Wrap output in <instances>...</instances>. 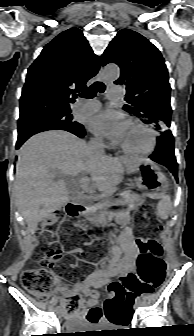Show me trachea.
Instances as JSON below:
<instances>
[{"label": "trachea", "mask_w": 194, "mask_h": 336, "mask_svg": "<svg viewBox=\"0 0 194 336\" xmlns=\"http://www.w3.org/2000/svg\"><path fill=\"white\" fill-rule=\"evenodd\" d=\"M105 91V85L102 82L93 83L86 91L82 92L79 96L83 98L92 99L96 96L97 92L103 93ZM76 95L73 100L76 99Z\"/></svg>", "instance_id": "3493384b"}]
</instances>
